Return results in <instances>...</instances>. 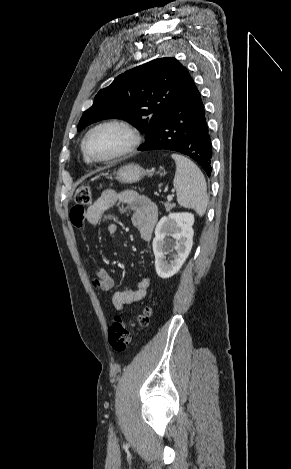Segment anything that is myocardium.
Instances as JSON below:
<instances>
[{
  "label": "myocardium",
  "mask_w": 291,
  "mask_h": 469,
  "mask_svg": "<svg viewBox=\"0 0 291 469\" xmlns=\"http://www.w3.org/2000/svg\"><path fill=\"white\" fill-rule=\"evenodd\" d=\"M108 126H115V127H119L123 129L128 135V138H129L128 143L123 149H121L120 151H118L117 153L111 156H108L105 158L93 157L88 151L89 138L98 129L103 128V127H108ZM141 140L142 138H141L139 131L129 122L122 120V119H109V120H105L103 122L98 123L86 133L82 142V151H83L84 157L90 162L109 163V162L118 160L120 158H123L129 155L130 153H132L140 145Z\"/></svg>",
  "instance_id": "obj_1"
}]
</instances>
